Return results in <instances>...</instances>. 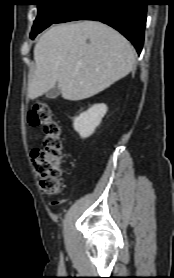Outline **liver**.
<instances>
[{
    "label": "liver",
    "instance_id": "6515ba94",
    "mask_svg": "<svg viewBox=\"0 0 174 278\" xmlns=\"http://www.w3.org/2000/svg\"><path fill=\"white\" fill-rule=\"evenodd\" d=\"M35 71L27 96L35 99L56 86L62 97L83 100L130 73L135 50L113 28L97 21L56 25L34 48Z\"/></svg>",
    "mask_w": 174,
    "mask_h": 278
}]
</instances>
